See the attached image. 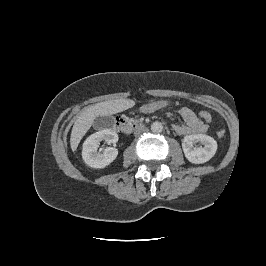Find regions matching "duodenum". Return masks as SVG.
I'll use <instances>...</instances> for the list:
<instances>
[{
	"label": "duodenum",
	"instance_id": "410a0bca",
	"mask_svg": "<svg viewBox=\"0 0 266 266\" xmlns=\"http://www.w3.org/2000/svg\"><path fill=\"white\" fill-rule=\"evenodd\" d=\"M114 126L117 131L122 133L130 132L133 129V125L121 115L116 117Z\"/></svg>",
	"mask_w": 266,
	"mask_h": 266
}]
</instances>
